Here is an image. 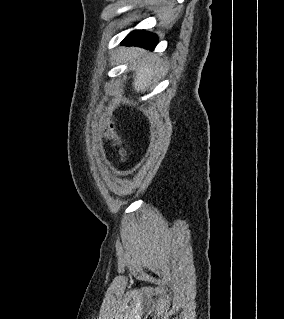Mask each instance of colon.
Masks as SVG:
<instances>
[{
  "label": "colon",
  "instance_id": "5ec220e1",
  "mask_svg": "<svg viewBox=\"0 0 284 319\" xmlns=\"http://www.w3.org/2000/svg\"><path fill=\"white\" fill-rule=\"evenodd\" d=\"M104 135L112 143V145L114 147H116L119 157L122 160H125V158H126V150L122 146V142L119 139V137L112 131L110 125H106V127L104 129Z\"/></svg>",
  "mask_w": 284,
  "mask_h": 319
}]
</instances>
